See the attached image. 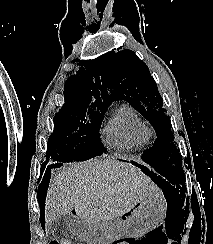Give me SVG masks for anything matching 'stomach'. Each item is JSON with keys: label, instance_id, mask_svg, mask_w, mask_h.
Instances as JSON below:
<instances>
[{"label": "stomach", "instance_id": "0dacf381", "mask_svg": "<svg viewBox=\"0 0 213 244\" xmlns=\"http://www.w3.org/2000/svg\"><path fill=\"white\" fill-rule=\"evenodd\" d=\"M164 221V213L157 199H143L137 202L119 221H84L72 230L87 239V244H111V239H128L143 235Z\"/></svg>", "mask_w": 213, "mask_h": 244}]
</instances>
